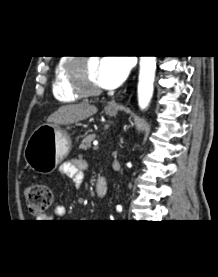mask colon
Here are the masks:
<instances>
[{
  "mask_svg": "<svg viewBox=\"0 0 218 277\" xmlns=\"http://www.w3.org/2000/svg\"><path fill=\"white\" fill-rule=\"evenodd\" d=\"M28 210L36 215L47 211L53 200V193L49 186L42 183L30 184L25 191Z\"/></svg>",
  "mask_w": 218,
  "mask_h": 277,
  "instance_id": "5ec220e1",
  "label": "colon"
}]
</instances>
